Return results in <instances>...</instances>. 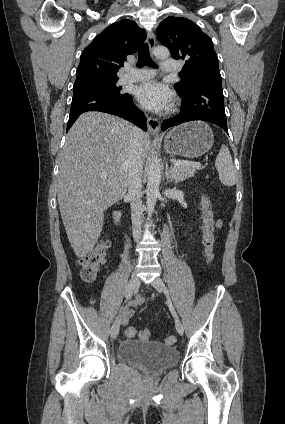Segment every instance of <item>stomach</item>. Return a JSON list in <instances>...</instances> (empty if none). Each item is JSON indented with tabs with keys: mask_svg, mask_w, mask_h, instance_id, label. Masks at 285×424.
Returning <instances> with one entry per match:
<instances>
[{
	"mask_svg": "<svg viewBox=\"0 0 285 424\" xmlns=\"http://www.w3.org/2000/svg\"><path fill=\"white\" fill-rule=\"evenodd\" d=\"M214 135L204 122L194 121L174 127L164 139L167 153L186 158H196L210 150Z\"/></svg>",
	"mask_w": 285,
	"mask_h": 424,
	"instance_id": "1",
	"label": "stomach"
}]
</instances>
